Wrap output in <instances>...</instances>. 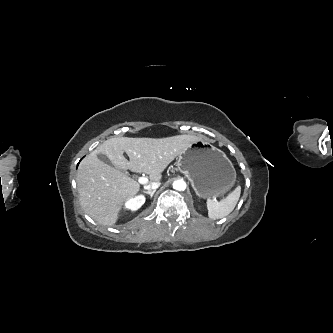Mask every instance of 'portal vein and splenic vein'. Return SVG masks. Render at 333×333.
I'll return each mask as SVG.
<instances>
[{
  "label": "portal vein and splenic vein",
  "instance_id": "obj_1",
  "mask_svg": "<svg viewBox=\"0 0 333 333\" xmlns=\"http://www.w3.org/2000/svg\"><path fill=\"white\" fill-rule=\"evenodd\" d=\"M138 182H139L140 184H145V183L148 182V179H147L146 177H139V178H138Z\"/></svg>",
  "mask_w": 333,
  "mask_h": 333
}]
</instances>
